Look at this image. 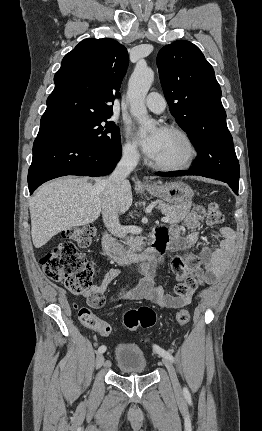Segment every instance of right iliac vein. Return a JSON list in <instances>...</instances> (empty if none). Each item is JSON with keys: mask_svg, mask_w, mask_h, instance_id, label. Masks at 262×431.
Segmentation results:
<instances>
[{"mask_svg": "<svg viewBox=\"0 0 262 431\" xmlns=\"http://www.w3.org/2000/svg\"><path fill=\"white\" fill-rule=\"evenodd\" d=\"M104 361H105L104 355L102 353H99L96 358V367L100 368L103 365Z\"/></svg>", "mask_w": 262, "mask_h": 431, "instance_id": "right-iliac-vein-1", "label": "right iliac vein"}]
</instances>
